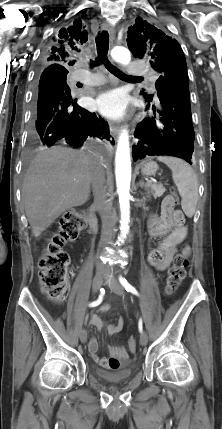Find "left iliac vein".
I'll list each match as a JSON object with an SVG mask.
<instances>
[{
    "label": "left iliac vein",
    "instance_id": "4c4485c4",
    "mask_svg": "<svg viewBox=\"0 0 222 429\" xmlns=\"http://www.w3.org/2000/svg\"><path fill=\"white\" fill-rule=\"evenodd\" d=\"M109 286H110L111 290H112L115 294L120 295V296H125L124 288H123V287H122V285H121L118 281H116L115 279H113V280L110 282ZM139 341H140V344H141V345H143V346L147 344V342H148V336H147V333H146L145 331L141 332L140 340H139Z\"/></svg>",
    "mask_w": 222,
    "mask_h": 429
}]
</instances>
